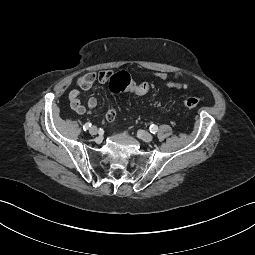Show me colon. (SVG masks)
I'll use <instances>...</instances> for the list:
<instances>
[{"instance_id": "obj_1", "label": "colon", "mask_w": 255, "mask_h": 255, "mask_svg": "<svg viewBox=\"0 0 255 255\" xmlns=\"http://www.w3.org/2000/svg\"><path fill=\"white\" fill-rule=\"evenodd\" d=\"M109 90L113 95L126 90H132L136 94L144 95L151 90V85L147 82L136 83L128 73L121 71L110 78ZM199 103V99L193 96H188L182 101L183 106L188 109H196Z\"/></svg>"}]
</instances>
